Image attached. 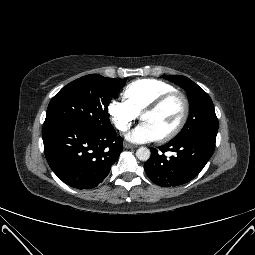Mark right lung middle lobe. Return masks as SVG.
<instances>
[{"label":"right lung middle lobe","instance_id":"dd1d6c3e","mask_svg":"<svg viewBox=\"0 0 255 255\" xmlns=\"http://www.w3.org/2000/svg\"><path fill=\"white\" fill-rule=\"evenodd\" d=\"M124 83L125 80L98 74L74 80L51 99L44 125L73 122L98 132L113 129L108 105Z\"/></svg>","mask_w":255,"mask_h":255}]
</instances>
